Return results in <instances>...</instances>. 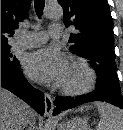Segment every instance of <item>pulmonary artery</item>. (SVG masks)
I'll list each match as a JSON object with an SVG mask.
<instances>
[{
    "instance_id": "pulmonary-artery-1",
    "label": "pulmonary artery",
    "mask_w": 123,
    "mask_h": 130,
    "mask_svg": "<svg viewBox=\"0 0 123 130\" xmlns=\"http://www.w3.org/2000/svg\"><path fill=\"white\" fill-rule=\"evenodd\" d=\"M62 36V27L59 24H52L48 32H32L20 36L14 43L16 48H33L44 44L49 37L58 39Z\"/></svg>"
}]
</instances>
